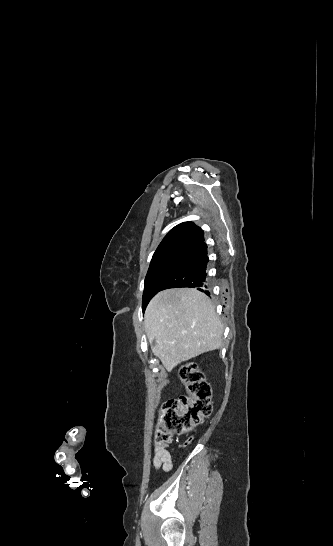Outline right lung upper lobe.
<instances>
[{
    "label": "right lung upper lobe",
    "instance_id": "obj_1",
    "mask_svg": "<svg viewBox=\"0 0 333 546\" xmlns=\"http://www.w3.org/2000/svg\"><path fill=\"white\" fill-rule=\"evenodd\" d=\"M204 240V233L200 227L192 222H184L170 230L154 254L173 249L188 251L204 243Z\"/></svg>",
    "mask_w": 333,
    "mask_h": 546
}]
</instances>
